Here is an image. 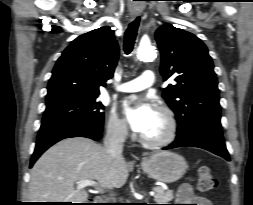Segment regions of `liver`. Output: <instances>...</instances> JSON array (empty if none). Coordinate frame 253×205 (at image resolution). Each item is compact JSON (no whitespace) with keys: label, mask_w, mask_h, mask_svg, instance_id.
Masks as SVG:
<instances>
[{"label":"liver","mask_w":253,"mask_h":205,"mask_svg":"<svg viewBox=\"0 0 253 205\" xmlns=\"http://www.w3.org/2000/svg\"><path fill=\"white\" fill-rule=\"evenodd\" d=\"M123 156L109 158L104 147L88 138L64 139L49 148L34 164L29 183L34 202L84 203L87 191L75 188L80 180L121 188L128 178ZM94 181V182H95Z\"/></svg>","instance_id":"6515ba94"}]
</instances>
